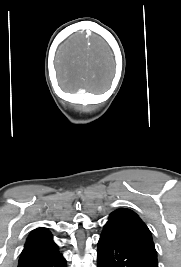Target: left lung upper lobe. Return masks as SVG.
<instances>
[{
	"mask_svg": "<svg viewBox=\"0 0 181 267\" xmlns=\"http://www.w3.org/2000/svg\"><path fill=\"white\" fill-rule=\"evenodd\" d=\"M106 225L124 229L154 246L151 232L148 227L133 211L129 209H118L112 212Z\"/></svg>",
	"mask_w": 181,
	"mask_h": 267,
	"instance_id": "5c2ea615",
	"label": "left lung upper lobe"
}]
</instances>
